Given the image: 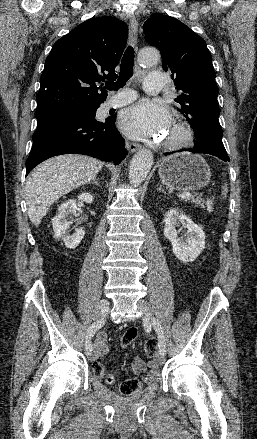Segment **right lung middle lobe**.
<instances>
[{
	"mask_svg": "<svg viewBox=\"0 0 257 439\" xmlns=\"http://www.w3.org/2000/svg\"><path fill=\"white\" fill-rule=\"evenodd\" d=\"M98 107H94V108H87V109H81L78 111H96Z\"/></svg>",
	"mask_w": 257,
	"mask_h": 439,
	"instance_id": "dd1d6c3e",
	"label": "right lung middle lobe"
}]
</instances>
